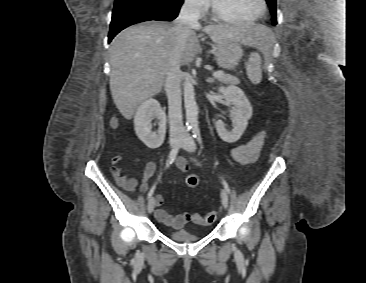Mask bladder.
<instances>
[{"label": "bladder", "mask_w": 366, "mask_h": 283, "mask_svg": "<svg viewBox=\"0 0 366 283\" xmlns=\"http://www.w3.org/2000/svg\"><path fill=\"white\" fill-rule=\"evenodd\" d=\"M168 237L178 242H191L202 238L201 234L191 233L186 230L168 232Z\"/></svg>", "instance_id": "1"}]
</instances>
